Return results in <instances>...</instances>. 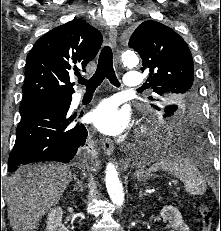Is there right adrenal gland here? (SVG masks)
I'll return each instance as SVG.
<instances>
[{
  "instance_id": "obj_1",
  "label": "right adrenal gland",
  "mask_w": 221,
  "mask_h": 231,
  "mask_svg": "<svg viewBox=\"0 0 221 231\" xmlns=\"http://www.w3.org/2000/svg\"><path fill=\"white\" fill-rule=\"evenodd\" d=\"M73 179H74V181H75L73 191L83 192V190H84L83 181L80 180V179L77 177L76 174H73Z\"/></svg>"
}]
</instances>
